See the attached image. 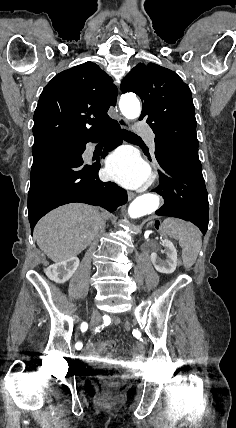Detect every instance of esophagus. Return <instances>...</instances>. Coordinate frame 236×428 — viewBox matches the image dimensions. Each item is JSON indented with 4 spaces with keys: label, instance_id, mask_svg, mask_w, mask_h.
I'll use <instances>...</instances> for the list:
<instances>
[{
    "label": "esophagus",
    "instance_id": "obj_1",
    "mask_svg": "<svg viewBox=\"0 0 236 428\" xmlns=\"http://www.w3.org/2000/svg\"><path fill=\"white\" fill-rule=\"evenodd\" d=\"M118 122H119L120 127L123 130H128L130 128V125H129V123H128V121L126 119H124V118L121 117V118L118 119ZM134 196H135V194L133 192H130L129 195H128V198L132 199V198H134Z\"/></svg>",
    "mask_w": 236,
    "mask_h": 428
}]
</instances>
